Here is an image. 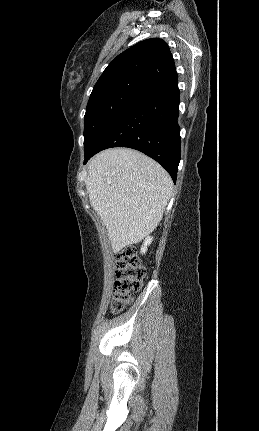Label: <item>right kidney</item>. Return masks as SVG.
Listing matches in <instances>:
<instances>
[{"label": "right kidney", "mask_w": 259, "mask_h": 431, "mask_svg": "<svg viewBox=\"0 0 259 431\" xmlns=\"http://www.w3.org/2000/svg\"><path fill=\"white\" fill-rule=\"evenodd\" d=\"M153 238L147 237L143 243V246L141 247V253H145L147 250V246L151 244Z\"/></svg>", "instance_id": "1"}]
</instances>
